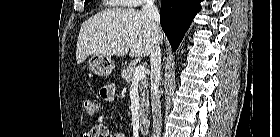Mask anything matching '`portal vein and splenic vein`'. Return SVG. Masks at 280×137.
<instances>
[{
	"mask_svg": "<svg viewBox=\"0 0 280 137\" xmlns=\"http://www.w3.org/2000/svg\"><path fill=\"white\" fill-rule=\"evenodd\" d=\"M146 75V69L143 65H138L135 69V73L133 76V82L140 81Z\"/></svg>",
	"mask_w": 280,
	"mask_h": 137,
	"instance_id": "1",
	"label": "portal vein and splenic vein"
}]
</instances>
